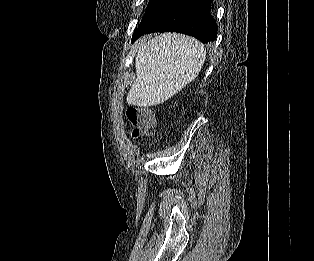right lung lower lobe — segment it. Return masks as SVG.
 I'll return each mask as SVG.
<instances>
[{
    "label": "right lung lower lobe",
    "mask_w": 314,
    "mask_h": 261,
    "mask_svg": "<svg viewBox=\"0 0 314 261\" xmlns=\"http://www.w3.org/2000/svg\"><path fill=\"white\" fill-rule=\"evenodd\" d=\"M213 0H174L156 16L139 25L132 42L153 32H178L193 36L203 43L217 37V24L210 13Z\"/></svg>",
    "instance_id": "98d812e1"
}]
</instances>
